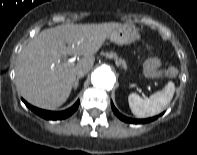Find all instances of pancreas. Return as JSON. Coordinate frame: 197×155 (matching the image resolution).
<instances>
[{"label":"pancreas","instance_id":"pancreas-1","mask_svg":"<svg viewBox=\"0 0 197 155\" xmlns=\"http://www.w3.org/2000/svg\"><path fill=\"white\" fill-rule=\"evenodd\" d=\"M106 55L109 56L110 58H114L115 59V62H116V64L118 66L120 65L123 68H126L127 67L125 60H123L121 58H118V56L116 55V53L110 52V53H106Z\"/></svg>","mask_w":197,"mask_h":155}]
</instances>
